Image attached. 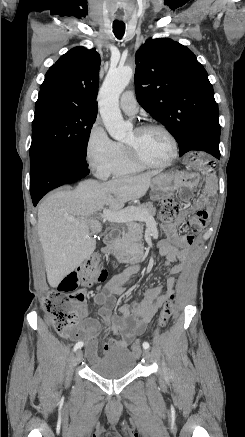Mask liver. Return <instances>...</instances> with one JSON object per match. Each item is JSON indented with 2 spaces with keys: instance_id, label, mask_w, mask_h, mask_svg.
<instances>
[{
  "instance_id": "liver-1",
  "label": "liver",
  "mask_w": 245,
  "mask_h": 437,
  "mask_svg": "<svg viewBox=\"0 0 245 437\" xmlns=\"http://www.w3.org/2000/svg\"><path fill=\"white\" fill-rule=\"evenodd\" d=\"M157 173L103 183L85 180L74 190L56 191L44 199L38 208L37 230L51 287H57L94 252V236L102 225L93 215L105 207L118 212L126 202L143 197Z\"/></svg>"
}]
</instances>
